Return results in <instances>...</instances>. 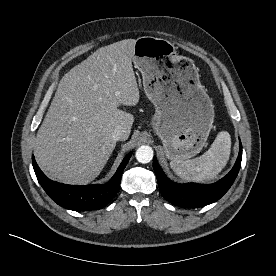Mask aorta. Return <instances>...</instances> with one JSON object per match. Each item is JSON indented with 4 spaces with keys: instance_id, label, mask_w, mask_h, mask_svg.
Instances as JSON below:
<instances>
[{
    "instance_id": "762f6f07",
    "label": "aorta",
    "mask_w": 276,
    "mask_h": 276,
    "mask_svg": "<svg viewBox=\"0 0 276 276\" xmlns=\"http://www.w3.org/2000/svg\"><path fill=\"white\" fill-rule=\"evenodd\" d=\"M136 159L142 164L149 163L153 158V150L150 146H141L136 151Z\"/></svg>"
}]
</instances>
